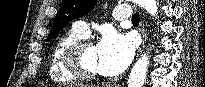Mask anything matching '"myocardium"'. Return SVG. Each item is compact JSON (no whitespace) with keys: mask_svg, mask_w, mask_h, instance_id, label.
I'll return each instance as SVG.
<instances>
[{"mask_svg":"<svg viewBox=\"0 0 205 87\" xmlns=\"http://www.w3.org/2000/svg\"><path fill=\"white\" fill-rule=\"evenodd\" d=\"M93 43L86 39H80L72 44L64 53L63 63L65 68L80 81H92L98 77V73L85 72L81 66V53Z\"/></svg>","mask_w":205,"mask_h":87,"instance_id":"myocardium-1","label":"myocardium"}]
</instances>
